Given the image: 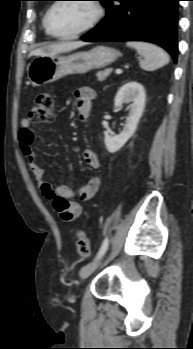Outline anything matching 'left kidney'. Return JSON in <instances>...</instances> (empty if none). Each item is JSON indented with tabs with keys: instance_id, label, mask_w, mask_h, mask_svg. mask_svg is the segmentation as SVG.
Returning <instances> with one entry per match:
<instances>
[{
	"instance_id": "1",
	"label": "left kidney",
	"mask_w": 193,
	"mask_h": 349,
	"mask_svg": "<svg viewBox=\"0 0 193 349\" xmlns=\"http://www.w3.org/2000/svg\"><path fill=\"white\" fill-rule=\"evenodd\" d=\"M145 101L144 87L137 81H129L118 90L114 99L115 106L121 107L124 103H131V108L120 134L111 136L109 132H104V142L108 152L115 153L120 150L134 134L143 114Z\"/></svg>"
}]
</instances>
